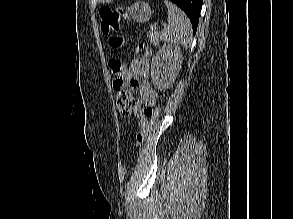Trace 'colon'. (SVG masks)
Listing matches in <instances>:
<instances>
[{
    "label": "colon",
    "mask_w": 293,
    "mask_h": 219,
    "mask_svg": "<svg viewBox=\"0 0 293 219\" xmlns=\"http://www.w3.org/2000/svg\"><path fill=\"white\" fill-rule=\"evenodd\" d=\"M99 15L101 18V29L102 32L106 35L110 34L111 31L117 30V13L109 8H101L99 11ZM109 44L113 48H119L123 44V39L120 36H110ZM138 50H141L139 47ZM108 67L112 75L114 76V84L116 87L121 86V76L123 72V65L117 59H110L108 62ZM161 111V107L157 106L155 109L151 110V117L149 123L142 128L135 137V145L139 146L143 143L146 136L151 131L153 125L157 121L159 114Z\"/></svg>",
    "instance_id": "5ec220e1"
}]
</instances>
